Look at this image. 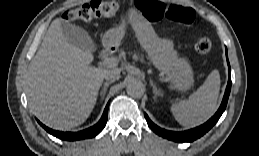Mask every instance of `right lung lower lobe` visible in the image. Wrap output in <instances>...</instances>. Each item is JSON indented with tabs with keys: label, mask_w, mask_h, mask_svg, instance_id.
<instances>
[{
	"label": "right lung lower lobe",
	"mask_w": 259,
	"mask_h": 156,
	"mask_svg": "<svg viewBox=\"0 0 259 156\" xmlns=\"http://www.w3.org/2000/svg\"><path fill=\"white\" fill-rule=\"evenodd\" d=\"M108 107L109 103L107 104L104 113L100 119V121L95 124L94 126L87 128L85 130L79 131V132H60V131H55L52 130L45 125H43L41 122L38 121V123L50 134L56 136L59 139L63 140H68V141H75V140H80V139H86V138H91L99 134L103 128L106 125L107 122V114H108Z\"/></svg>",
	"instance_id": "right-lung-lower-lobe-1"
}]
</instances>
